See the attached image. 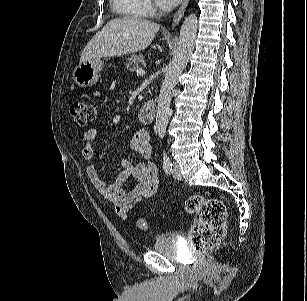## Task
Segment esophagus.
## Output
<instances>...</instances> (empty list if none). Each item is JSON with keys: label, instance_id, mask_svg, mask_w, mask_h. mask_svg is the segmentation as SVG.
<instances>
[{"label": "esophagus", "instance_id": "1", "mask_svg": "<svg viewBox=\"0 0 307 301\" xmlns=\"http://www.w3.org/2000/svg\"><path fill=\"white\" fill-rule=\"evenodd\" d=\"M188 3H189V0L183 1L182 5L180 6V8L178 9V11L175 13V15L173 17L172 27H175L179 24V22L181 21L183 15H184V12H185V9H186Z\"/></svg>", "mask_w": 307, "mask_h": 301}]
</instances>
